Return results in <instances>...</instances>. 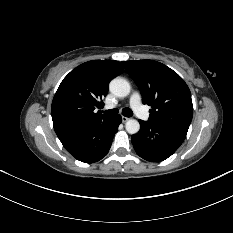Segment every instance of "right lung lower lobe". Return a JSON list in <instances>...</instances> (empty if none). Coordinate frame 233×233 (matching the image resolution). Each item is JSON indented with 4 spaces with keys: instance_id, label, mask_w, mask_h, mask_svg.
I'll use <instances>...</instances> for the list:
<instances>
[{
    "instance_id": "1",
    "label": "right lung lower lobe",
    "mask_w": 233,
    "mask_h": 233,
    "mask_svg": "<svg viewBox=\"0 0 233 233\" xmlns=\"http://www.w3.org/2000/svg\"><path fill=\"white\" fill-rule=\"evenodd\" d=\"M122 119L120 115L94 120L58 135L65 149L77 160L94 163L109 151Z\"/></svg>"
}]
</instances>
